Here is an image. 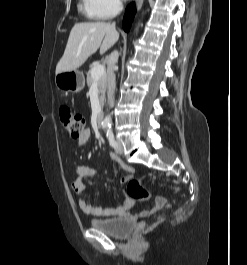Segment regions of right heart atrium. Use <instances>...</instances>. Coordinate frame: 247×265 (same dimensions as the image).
<instances>
[{
	"instance_id": "1",
	"label": "right heart atrium",
	"mask_w": 247,
	"mask_h": 265,
	"mask_svg": "<svg viewBox=\"0 0 247 265\" xmlns=\"http://www.w3.org/2000/svg\"><path fill=\"white\" fill-rule=\"evenodd\" d=\"M83 3L87 15L94 19H109L122 8L120 0H83Z\"/></svg>"
}]
</instances>
